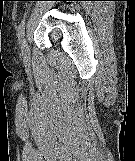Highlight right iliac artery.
Instances as JSON below:
<instances>
[{"label": "right iliac artery", "mask_w": 135, "mask_h": 161, "mask_svg": "<svg viewBox=\"0 0 135 161\" xmlns=\"http://www.w3.org/2000/svg\"><path fill=\"white\" fill-rule=\"evenodd\" d=\"M24 31H25V20H22L19 27H18V40L19 43L22 42L24 38Z\"/></svg>", "instance_id": "1"}]
</instances>
